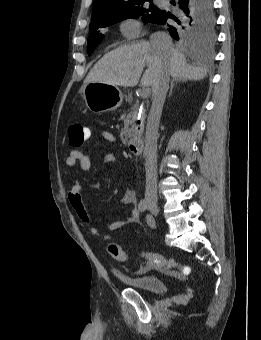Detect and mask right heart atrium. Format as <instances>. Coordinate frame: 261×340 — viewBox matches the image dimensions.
I'll use <instances>...</instances> for the list:
<instances>
[{
	"instance_id": "d8ad5b80",
	"label": "right heart atrium",
	"mask_w": 261,
	"mask_h": 340,
	"mask_svg": "<svg viewBox=\"0 0 261 340\" xmlns=\"http://www.w3.org/2000/svg\"><path fill=\"white\" fill-rule=\"evenodd\" d=\"M120 31L126 38H136L142 33L141 24L137 19L127 18L121 22Z\"/></svg>"
}]
</instances>
